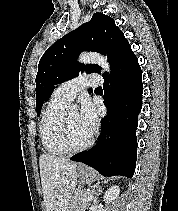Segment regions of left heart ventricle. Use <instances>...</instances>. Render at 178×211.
Instances as JSON below:
<instances>
[{
	"instance_id": "left-heart-ventricle-1",
	"label": "left heart ventricle",
	"mask_w": 178,
	"mask_h": 211,
	"mask_svg": "<svg viewBox=\"0 0 178 211\" xmlns=\"http://www.w3.org/2000/svg\"><path fill=\"white\" fill-rule=\"evenodd\" d=\"M68 126L70 141L75 147L85 144L91 137L92 132L81 124L77 111L68 113Z\"/></svg>"
}]
</instances>
